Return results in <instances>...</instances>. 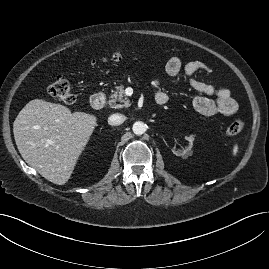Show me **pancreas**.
<instances>
[{"label": "pancreas", "instance_id": "obj_1", "mask_svg": "<svg viewBox=\"0 0 269 269\" xmlns=\"http://www.w3.org/2000/svg\"><path fill=\"white\" fill-rule=\"evenodd\" d=\"M108 105L115 109L130 106V102L124 93L123 85L117 87L116 90L112 93L110 99L108 100Z\"/></svg>", "mask_w": 269, "mask_h": 269}]
</instances>
